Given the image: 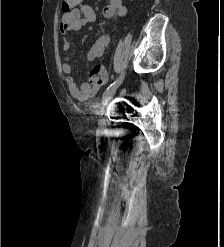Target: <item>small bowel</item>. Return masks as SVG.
<instances>
[{"label": "small bowel", "instance_id": "small-bowel-1", "mask_svg": "<svg viewBox=\"0 0 224 247\" xmlns=\"http://www.w3.org/2000/svg\"><path fill=\"white\" fill-rule=\"evenodd\" d=\"M103 14L108 19H116L124 17L127 14V7L122 0H109L103 9ZM96 14L88 5H81L72 11L64 13L60 22V31L62 34V50L67 52L71 48L72 34L79 32L86 24L96 22ZM109 36H100L89 48L87 52V60L95 61L100 58L105 49L109 45ZM70 57L65 56L62 64V72L67 76L65 81L71 95L78 100H86L94 96L98 91V85L83 83L78 86L71 76V66L69 64Z\"/></svg>", "mask_w": 224, "mask_h": 247}]
</instances>
